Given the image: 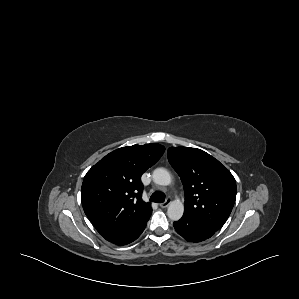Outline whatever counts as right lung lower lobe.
I'll list each match as a JSON object with an SVG mask.
<instances>
[{"instance_id": "right-lung-lower-lobe-1", "label": "right lung lower lobe", "mask_w": 299, "mask_h": 299, "mask_svg": "<svg viewBox=\"0 0 299 299\" xmlns=\"http://www.w3.org/2000/svg\"><path fill=\"white\" fill-rule=\"evenodd\" d=\"M147 221L145 223H143L142 225H140L139 227H136V228H133L130 230L106 234L103 237L107 241L117 244V245L129 244V243L133 242L134 240H136L140 236V234L143 232V230L146 227Z\"/></svg>"}]
</instances>
